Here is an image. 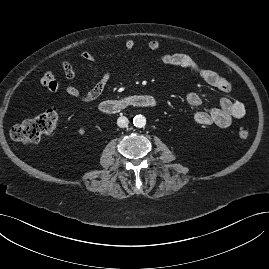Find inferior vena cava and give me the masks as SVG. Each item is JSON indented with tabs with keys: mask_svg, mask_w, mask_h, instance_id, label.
<instances>
[{
	"mask_svg": "<svg viewBox=\"0 0 269 269\" xmlns=\"http://www.w3.org/2000/svg\"><path fill=\"white\" fill-rule=\"evenodd\" d=\"M128 123H129V120L127 117L125 116H121L117 119V125L120 127V128H125L128 126Z\"/></svg>",
	"mask_w": 269,
	"mask_h": 269,
	"instance_id": "obj_1",
	"label": "inferior vena cava"
}]
</instances>
